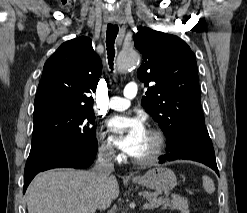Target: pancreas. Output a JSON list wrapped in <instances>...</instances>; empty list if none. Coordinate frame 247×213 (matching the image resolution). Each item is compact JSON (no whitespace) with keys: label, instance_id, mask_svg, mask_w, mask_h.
I'll use <instances>...</instances> for the list:
<instances>
[{"label":"pancreas","instance_id":"pancreas-1","mask_svg":"<svg viewBox=\"0 0 247 213\" xmlns=\"http://www.w3.org/2000/svg\"><path fill=\"white\" fill-rule=\"evenodd\" d=\"M143 196L149 200L150 202H154L156 200H163L164 202L162 209H167L170 208L172 210H179L181 213H189L188 208H189V203L188 200L180 195L174 194L172 195V199L168 198H158V193L155 192H149V191H144Z\"/></svg>","mask_w":247,"mask_h":213}]
</instances>
